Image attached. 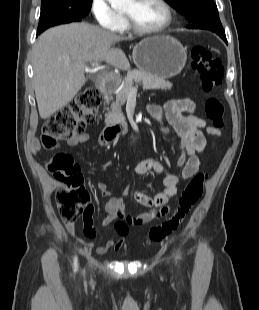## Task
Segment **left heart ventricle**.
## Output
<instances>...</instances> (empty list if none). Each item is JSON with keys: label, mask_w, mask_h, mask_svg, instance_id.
Masks as SVG:
<instances>
[{"label": "left heart ventricle", "mask_w": 259, "mask_h": 310, "mask_svg": "<svg viewBox=\"0 0 259 310\" xmlns=\"http://www.w3.org/2000/svg\"><path fill=\"white\" fill-rule=\"evenodd\" d=\"M123 12L143 28L158 27L166 18L164 8L157 0H130Z\"/></svg>", "instance_id": "1"}]
</instances>
